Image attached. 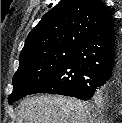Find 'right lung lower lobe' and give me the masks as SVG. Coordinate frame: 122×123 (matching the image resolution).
<instances>
[{"instance_id": "right-lung-lower-lobe-1", "label": "right lung lower lobe", "mask_w": 122, "mask_h": 123, "mask_svg": "<svg viewBox=\"0 0 122 123\" xmlns=\"http://www.w3.org/2000/svg\"><path fill=\"white\" fill-rule=\"evenodd\" d=\"M34 93L85 101L97 96L122 95V38L114 22L92 33L71 59L29 92Z\"/></svg>"}]
</instances>
